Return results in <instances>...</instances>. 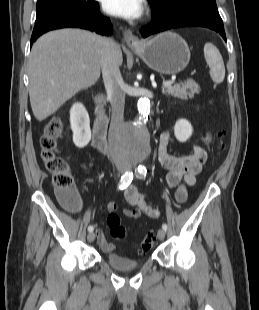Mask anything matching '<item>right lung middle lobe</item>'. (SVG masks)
Returning <instances> with one entry per match:
<instances>
[{"instance_id":"dd1d6c3e","label":"right lung middle lobe","mask_w":259,"mask_h":310,"mask_svg":"<svg viewBox=\"0 0 259 310\" xmlns=\"http://www.w3.org/2000/svg\"><path fill=\"white\" fill-rule=\"evenodd\" d=\"M92 1L85 0H38L36 21L50 14L73 13L87 9Z\"/></svg>"}]
</instances>
